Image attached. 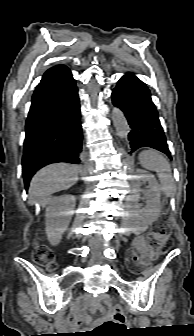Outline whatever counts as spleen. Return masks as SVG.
Instances as JSON below:
<instances>
[{
	"label": "spleen",
	"mask_w": 194,
	"mask_h": 336,
	"mask_svg": "<svg viewBox=\"0 0 194 336\" xmlns=\"http://www.w3.org/2000/svg\"><path fill=\"white\" fill-rule=\"evenodd\" d=\"M138 159L143 168L157 172L161 189L170 197L175 190V184L166 158L156 150H146L139 154Z\"/></svg>",
	"instance_id": "obj_1"
}]
</instances>
